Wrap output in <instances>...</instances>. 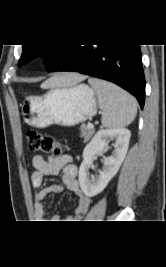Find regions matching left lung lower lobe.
I'll return each mask as SVG.
<instances>
[{"label":"left lung lower lobe","mask_w":166,"mask_h":267,"mask_svg":"<svg viewBox=\"0 0 166 267\" xmlns=\"http://www.w3.org/2000/svg\"><path fill=\"white\" fill-rule=\"evenodd\" d=\"M50 71H73L108 80L136 97L141 108L145 101V77L140 45L65 46Z\"/></svg>","instance_id":"obj_1"}]
</instances>
